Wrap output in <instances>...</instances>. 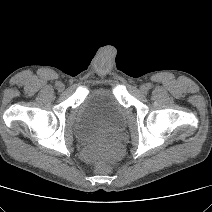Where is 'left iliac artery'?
I'll use <instances>...</instances> for the list:
<instances>
[{
  "instance_id": "44dca946",
  "label": "left iliac artery",
  "mask_w": 212,
  "mask_h": 212,
  "mask_svg": "<svg viewBox=\"0 0 212 212\" xmlns=\"http://www.w3.org/2000/svg\"><path fill=\"white\" fill-rule=\"evenodd\" d=\"M147 86H148V89H150L151 85H150V84H148Z\"/></svg>"
}]
</instances>
